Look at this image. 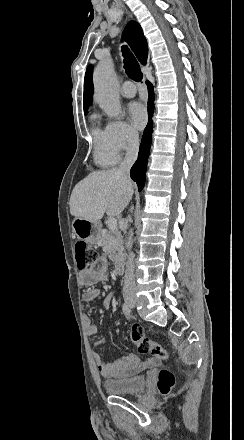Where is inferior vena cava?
<instances>
[{
  "label": "inferior vena cava",
  "instance_id": "602c4592",
  "mask_svg": "<svg viewBox=\"0 0 244 440\" xmlns=\"http://www.w3.org/2000/svg\"><path fill=\"white\" fill-rule=\"evenodd\" d=\"M139 152V136L138 134H132L130 136L127 154L120 164L118 170L120 174H123L124 182H130V168L133 166L135 160H137ZM129 294H136V284L134 276V254L130 252L127 260V266L124 276L123 296H129Z\"/></svg>",
  "mask_w": 244,
  "mask_h": 440
}]
</instances>
